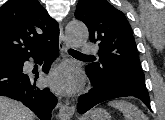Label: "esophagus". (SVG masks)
Here are the masks:
<instances>
[{
	"label": "esophagus",
	"instance_id": "1",
	"mask_svg": "<svg viewBox=\"0 0 165 120\" xmlns=\"http://www.w3.org/2000/svg\"><path fill=\"white\" fill-rule=\"evenodd\" d=\"M68 48H69V44L64 34L63 27L60 24L59 49L61 53L64 54L66 53ZM74 112H75L74 106L66 102L65 104L60 105L58 117L61 120H69L73 116Z\"/></svg>",
	"mask_w": 165,
	"mask_h": 120
}]
</instances>
